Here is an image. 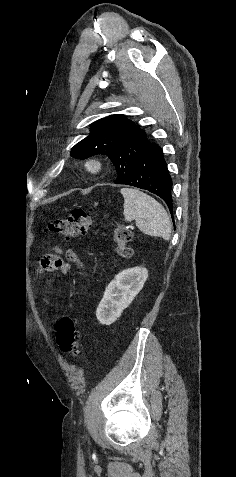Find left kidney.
<instances>
[{"label":"left kidney","mask_w":236,"mask_h":477,"mask_svg":"<svg viewBox=\"0 0 236 477\" xmlns=\"http://www.w3.org/2000/svg\"><path fill=\"white\" fill-rule=\"evenodd\" d=\"M147 278L148 271L144 267L126 269L116 275L105 289L98 305V321L102 325L114 323L141 291Z\"/></svg>","instance_id":"left-kidney-1"}]
</instances>
